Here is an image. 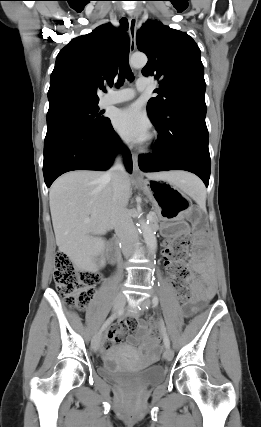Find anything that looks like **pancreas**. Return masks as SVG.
I'll list each match as a JSON object with an SVG mask.
<instances>
[{"label":"pancreas","mask_w":261,"mask_h":427,"mask_svg":"<svg viewBox=\"0 0 261 427\" xmlns=\"http://www.w3.org/2000/svg\"><path fill=\"white\" fill-rule=\"evenodd\" d=\"M150 220L153 223V226H157L159 221V215L156 212H151Z\"/></svg>","instance_id":"1"}]
</instances>
